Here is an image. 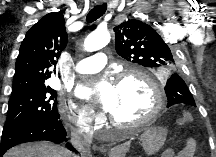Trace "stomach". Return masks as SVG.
Wrapping results in <instances>:
<instances>
[{"label": "stomach", "instance_id": "1", "mask_svg": "<svg viewBox=\"0 0 216 157\" xmlns=\"http://www.w3.org/2000/svg\"><path fill=\"white\" fill-rule=\"evenodd\" d=\"M166 135L167 132L163 127L152 126L145 128L141 134V144L145 153L147 155H154L157 153L163 146Z\"/></svg>", "mask_w": 216, "mask_h": 157}]
</instances>
